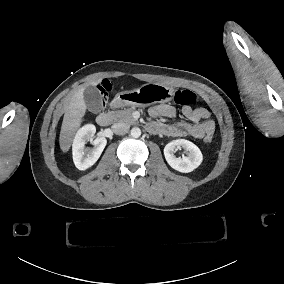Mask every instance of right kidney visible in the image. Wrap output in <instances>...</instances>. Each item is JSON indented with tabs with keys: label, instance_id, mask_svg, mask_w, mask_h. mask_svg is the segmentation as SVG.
Wrapping results in <instances>:
<instances>
[{
	"label": "right kidney",
	"instance_id": "1",
	"mask_svg": "<svg viewBox=\"0 0 284 284\" xmlns=\"http://www.w3.org/2000/svg\"><path fill=\"white\" fill-rule=\"evenodd\" d=\"M96 128L93 124H86L80 128L74 138L72 146L73 161L79 170L91 167L100 157L107 140L105 137H97L92 141V149L85 148V143L94 136Z\"/></svg>",
	"mask_w": 284,
	"mask_h": 284
}]
</instances>
